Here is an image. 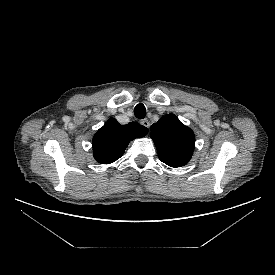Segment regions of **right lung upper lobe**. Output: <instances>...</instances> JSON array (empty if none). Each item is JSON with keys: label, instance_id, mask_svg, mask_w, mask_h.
Instances as JSON below:
<instances>
[{"label": "right lung upper lobe", "instance_id": "1", "mask_svg": "<svg viewBox=\"0 0 275 275\" xmlns=\"http://www.w3.org/2000/svg\"><path fill=\"white\" fill-rule=\"evenodd\" d=\"M147 133L148 129L137 122L121 125L110 118L93 137L94 158L101 164H110L123 155L131 140Z\"/></svg>", "mask_w": 275, "mask_h": 275}]
</instances>
